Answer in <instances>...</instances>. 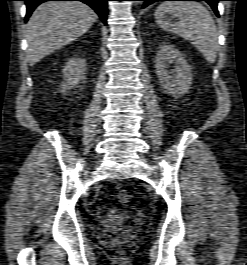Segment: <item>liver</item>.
Instances as JSON below:
<instances>
[{"label":"liver","mask_w":247,"mask_h":265,"mask_svg":"<svg viewBox=\"0 0 247 265\" xmlns=\"http://www.w3.org/2000/svg\"><path fill=\"white\" fill-rule=\"evenodd\" d=\"M97 18L96 13L82 2L52 1L39 5L26 27L29 64L33 66L82 36Z\"/></svg>","instance_id":"liver-1"}]
</instances>
